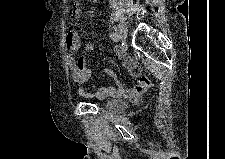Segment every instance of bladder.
<instances>
[{
  "label": "bladder",
  "mask_w": 225,
  "mask_h": 159,
  "mask_svg": "<svg viewBox=\"0 0 225 159\" xmlns=\"http://www.w3.org/2000/svg\"><path fill=\"white\" fill-rule=\"evenodd\" d=\"M100 103L112 112H121L125 109V102L119 98L103 99Z\"/></svg>",
  "instance_id": "bladder-1"
}]
</instances>
